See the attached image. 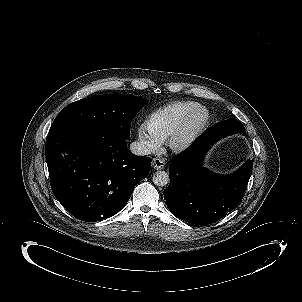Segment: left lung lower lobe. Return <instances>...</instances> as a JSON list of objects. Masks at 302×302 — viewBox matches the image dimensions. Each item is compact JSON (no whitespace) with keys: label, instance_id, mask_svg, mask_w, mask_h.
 I'll use <instances>...</instances> for the list:
<instances>
[{"label":"left lung lower lobe","instance_id":"0a47b994","mask_svg":"<svg viewBox=\"0 0 302 302\" xmlns=\"http://www.w3.org/2000/svg\"><path fill=\"white\" fill-rule=\"evenodd\" d=\"M220 138L209 128L171 161L170 184L163 191L164 199L172 214L186 222L214 223L232 211L243 198L253 160L224 176L202 166L207 150Z\"/></svg>","mask_w":302,"mask_h":302}]
</instances>
